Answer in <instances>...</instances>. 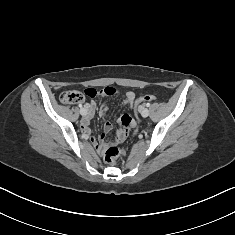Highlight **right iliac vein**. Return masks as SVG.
<instances>
[{
	"label": "right iliac vein",
	"mask_w": 235,
	"mask_h": 235,
	"mask_svg": "<svg viewBox=\"0 0 235 235\" xmlns=\"http://www.w3.org/2000/svg\"><path fill=\"white\" fill-rule=\"evenodd\" d=\"M80 114H81L84 118L87 117V111H86V109L82 108V109L80 110Z\"/></svg>",
	"instance_id": "right-iliac-vein-1"
}]
</instances>
